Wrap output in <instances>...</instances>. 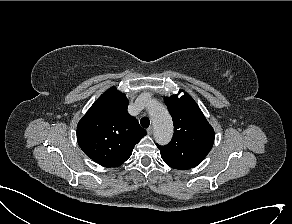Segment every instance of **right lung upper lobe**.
Listing matches in <instances>:
<instances>
[{
  "label": "right lung upper lobe",
  "instance_id": "obj_1",
  "mask_svg": "<svg viewBox=\"0 0 292 224\" xmlns=\"http://www.w3.org/2000/svg\"><path fill=\"white\" fill-rule=\"evenodd\" d=\"M128 99L115 87L103 93L77 126L83 152L104 167L124 163L147 132L127 112Z\"/></svg>",
  "mask_w": 292,
  "mask_h": 224
}]
</instances>
